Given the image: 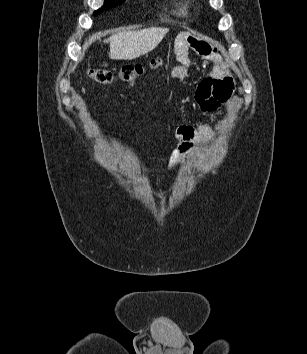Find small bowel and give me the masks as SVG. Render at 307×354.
Masks as SVG:
<instances>
[{
  "label": "small bowel",
  "mask_w": 307,
  "mask_h": 354,
  "mask_svg": "<svg viewBox=\"0 0 307 354\" xmlns=\"http://www.w3.org/2000/svg\"><path fill=\"white\" fill-rule=\"evenodd\" d=\"M191 51L196 52L203 64L211 68L209 76L201 81L195 91L194 99L203 111H214L230 98L233 78L213 45L194 37H186L178 40L175 45V58L178 64L171 70L173 80L183 82L188 78L189 68L193 62ZM214 134L215 130L209 124L179 125L175 131L177 148L171 156V168L177 170L181 157L192 155L198 143L206 142Z\"/></svg>",
  "instance_id": "obj_1"
}]
</instances>
